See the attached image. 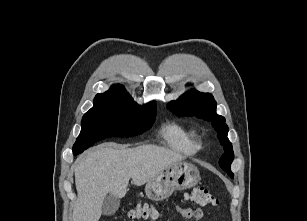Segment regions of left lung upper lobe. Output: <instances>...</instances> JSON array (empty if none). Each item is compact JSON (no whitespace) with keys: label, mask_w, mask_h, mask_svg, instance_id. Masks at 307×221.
<instances>
[{"label":"left lung upper lobe","mask_w":307,"mask_h":221,"mask_svg":"<svg viewBox=\"0 0 307 221\" xmlns=\"http://www.w3.org/2000/svg\"><path fill=\"white\" fill-rule=\"evenodd\" d=\"M168 109L179 116H193L207 121H213L218 132L220 143L224 146L225 153L219 160L220 167L233 178L230 165L234 158L232 144L227 138L228 127L224 123L225 118L216 113V102L210 93L191 90L183 94L178 100L168 104Z\"/></svg>","instance_id":"5c2ea615"}]
</instances>
